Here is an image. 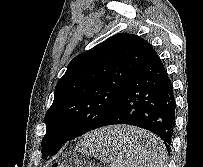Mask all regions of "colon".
<instances>
[{
	"label": "colon",
	"mask_w": 203,
	"mask_h": 167,
	"mask_svg": "<svg viewBox=\"0 0 203 167\" xmlns=\"http://www.w3.org/2000/svg\"><path fill=\"white\" fill-rule=\"evenodd\" d=\"M52 167H59V165L58 164H54Z\"/></svg>",
	"instance_id": "1"
}]
</instances>
